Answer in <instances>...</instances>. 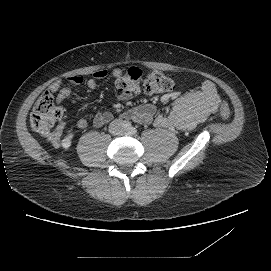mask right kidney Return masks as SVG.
<instances>
[{
  "label": "right kidney",
  "instance_id": "1",
  "mask_svg": "<svg viewBox=\"0 0 271 271\" xmlns=\"http://www.w3.org/2000/svg\"><path fill=\"white\" fill-rule=\"evenodd\" d=\"M63 144H64L65 147H68L69 144H70V141L68 139H65Z\"/></svg>",
  "mask_w": 271,
  "mask_h": 271
}]
</instances>
